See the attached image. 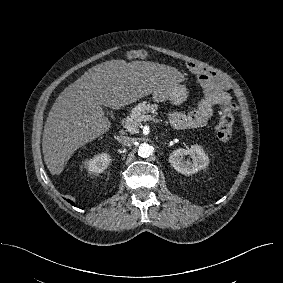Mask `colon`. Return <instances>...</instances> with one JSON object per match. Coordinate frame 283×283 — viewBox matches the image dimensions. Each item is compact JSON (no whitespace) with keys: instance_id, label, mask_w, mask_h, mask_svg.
Wrapping results in <instances>:
<instances>
[{"instance_id":"5ec220e1","label":"colon","mask_w":283,"mask_h":283,"mask_svg":"<svg viewBox=\"0 0 283 283\" xmlns=\"http://www.w3.org/2000/svg\"><path fill=\"white\" fill-rule=\"evenodd\" d=\"M131 56L134 58L144 57L140 50L133 51ZM233 114L229 108L223 107L219 110V122L216 127L218 138L224 143H230L232 138Z\"/></svg>"}]
</instances>
